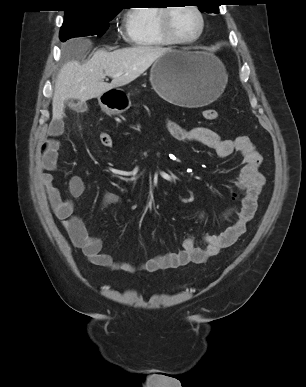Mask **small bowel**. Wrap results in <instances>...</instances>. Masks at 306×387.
Instances as JSON below:
<instances>
[{
  "instance_id": "small-bowel-1",
  "label": "small bowel",
  "mask_w": 306,
  "mask_h": 387,
  "mask_svg": "<svg viewBox=\"0 0 306 387\" xmlns=\"http://www.w3.org/2000/svg\"><path fill=\"white\" fill-rule=\"evenodd\" d=\"M167 126L171 135L184 144L191 142L202 144L212 149L219 158H227L234 152L242 157L243 166L237 181L239 194L232 193L233 198L238 199V205L226 213V216L234 215L235 221L219 234L205 235L203 246H199L195 238L190 235L184 239L182 250L178 252L157 254L140 265L127 260L115 261L110 255L102 252L101 239L89 234L84 222L75 213L74 200L84 194V180L77 175L69 179L68 188L71 198H64L53 184L52 173L58 167L57 137L64 128L62 120H55L51 123L48 137L40 149L39 180L45 187L53 213L61 221L73 244L82 250L92 264L128 274L138 271L151 273L189 264H202L221 250L233 245L246 232L247 224L257 210V200L265 183V178L259 170L262 156L254 143L247 136H240L234 140L222 139L214 130L204 126L188 129L171 120L167 122ZM119 203H121L120 195L107 192L103 197L102 207L105 209Z\"/></svg>"
}]
</instances>
